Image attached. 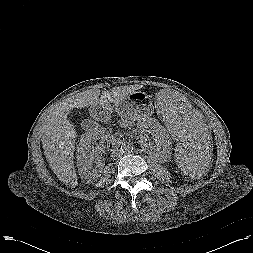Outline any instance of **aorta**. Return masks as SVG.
<instances>
[{
	"label": "aorta",
	"instance_id": "1",
	"mask_svg": "<svg viewBox=\"0 0 253 253\" xmlns=\"http://www.w3.org/2000/svg\"><path fill=\"white\" fill-rule=\"evenodd\" d=\"M121 150L123 153H130L133 150V145L130 141H123L121 143Z\"/></svg>",
	"mask_w": 253,
	"mask_h": 253
}]
</instances>
